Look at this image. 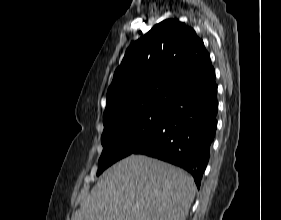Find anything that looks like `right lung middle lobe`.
Here are the masks:
<instances>
[{"label": "right lung middle lobe", "instance_id": "dd1d6c3e", "mask_svg": "<svg viewBox=\"0 0 281 220\" xmlns=\"http://www.w3.org/2000/svg\"><path fill=\"white\" fill-rule=\"evenodd\" d=\"M168 111H146L123 116L104 126L103 152L97 175L116 161L132 154L161 128Z\"/></svg>", "mask_w": 281, "mask_h": 220}]
</instances>
